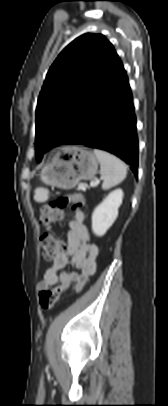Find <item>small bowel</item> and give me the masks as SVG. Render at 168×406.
<instances>
[{"label": "small bowel", "mask_w": 168, "mask_h": 406, "mask_svg": "<svg viewBox=\"0 0 168 406\" xmlns=\"http://www.w3.org/2000/svg\"><path fill=\"white\" fill-rule=\"evenodd\" d=\"M68 227L63 249L45 271L43 279L37 285L39 290L59 284L54 288L55 292H64L68 289L79 292L96 271L99 247L91 240L81 210H75V217L69 222ZM68 265L72 269L64 271Z\"/></svg>", "instance_id": "c3829d8e"}]
</instances>
